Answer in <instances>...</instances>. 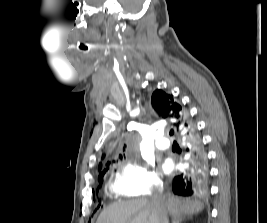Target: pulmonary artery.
Listing matches in <instances>:
<instances>
[{
  "instance_id": "pulmonary-artery-1",
  "label": "pulmonary artery",
  "mask_w": 267,
  "mask_h": 223,
  "mask_svg": "<svg viewBox=\"0 0 267 223\" xmlns=\"http://www.w3.org/2000/svg\"><path fill=\"white\" fill-rule=\"evenodd\" d=\"M170 146V141L164 137L163 135L161 134H158L156 136V147L160 150H165L167 148H169Z\"/></svg>"
}]
</instances>
